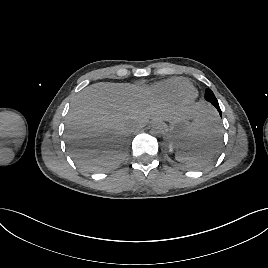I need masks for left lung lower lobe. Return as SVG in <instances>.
<instances>
[{
  "instance_id": "left-lung-lower-lobe-1",
  "label": "left lung lower lobe",
  "mask_w": 268,
  "mask_h": 268,
  "mask_svg": "<svg viewBox=\"0 0 268 268\" xmlns=\"http://www.w3.org/2000/svg\"><path fill=\"white\" fill-rule=\"evenodd\" d=\"M212 105L218 110L220 116L222 117L221 109H220V107H219V104H218V103H214V104H212ZM219 137H220V136H219Z\"/></svg>"
}]
</instances>
